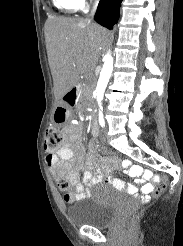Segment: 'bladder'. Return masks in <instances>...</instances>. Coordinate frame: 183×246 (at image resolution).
Masks as SVG:
<instances>
[{"mask_svg": "<svg viewBox=\"0 0 183 246\" xmlns=\"http://www.w3.org/2000/svg\"><path fill=\"white\" fill-rule=\"evenodd\" d=\"M118 199L113 189L97 184L80 203L67 211L69 221L76 226H108L115 215Z\"/></svg>", "mask_w": 183, "mask_h": 246, "instance_id": "bladder-1", "label": "bladder"}]
</instances>
